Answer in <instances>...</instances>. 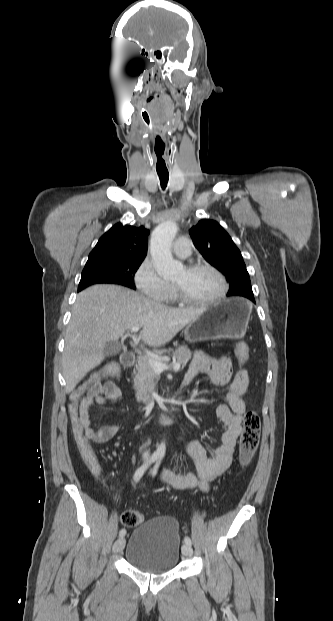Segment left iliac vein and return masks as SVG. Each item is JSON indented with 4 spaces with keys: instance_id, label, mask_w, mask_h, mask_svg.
<instances>
[{
    "instance_id": "obj_1",
    "label": "left iliac vein",
    "mask_w": 333,
    "mask_h": 621,
    "mask_svg": "<svg viewBox=\"0 0 333 621\" xmlns=\"http://www.w3.org/2000/svg\"><path fill=\"white\" fill-rule=\"evenodd\" d=\"M182 553L186 557H190L193 554V549L190 545L183 544L182 545Z\"/></svg>"
}]
</instances>
